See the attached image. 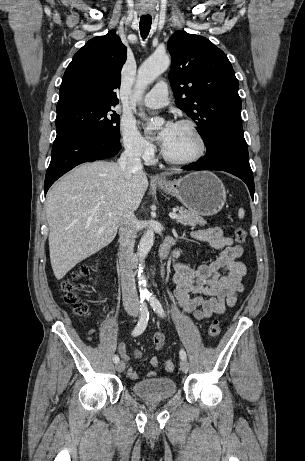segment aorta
Instances as JSON below:
<instances>
[{
  "label": "aorta",
  "mask_w": 305,
  "mask_h": 461,
  "mask_svg": "<svg viewBox=\"0 0 305 461\" xmlns=\"http://www.w3.org/2000/svg\"><path fill=\"white\" fill-rule=\"evenodd\" d=\"M170 58L166 54H154L147 59L138 69L137 85L135 88V98L139 99L147 85L152 83L159 75H161L169 66ZM143 114H141L142 116ZM144 116V115H143ZM163 119L155 118L151 119L148 127L152 129L160 128L163 124ZM155 234L152 228H148L138 245V258H139V271H138V283L140 293L147 295L148 290L146 288V279L143 274L142 262L147 257L154 243Z\"/></svg>",
  "instance_id": "aorta-1"
}]
</instances>
